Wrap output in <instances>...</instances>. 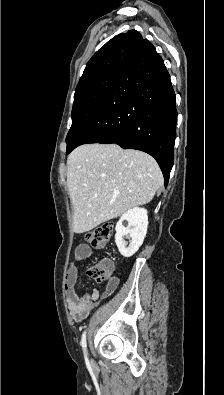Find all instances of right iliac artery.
<instances>
[{"instance_id": "right-iliac-artery-1", "label": "right iliac artery", "mask_w": 224, "mask_h": 395, "mask_svg": "<svg viewBox=\"0 0 224 395\" xmlns=\"http://www.w3.org/2000/svg\"><path fill=\"white\" fill-rule=\"evenodd\" d=\"M81 346H82L83 352H84L85 357H86L87 356L86 331H84L83 334H82Z\"/></svg>"}]
</instances>
